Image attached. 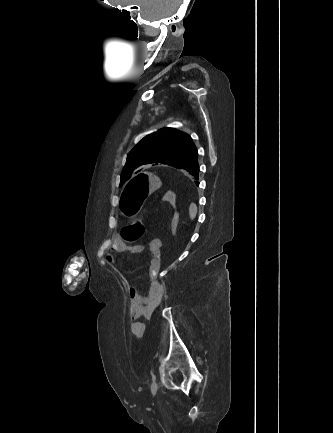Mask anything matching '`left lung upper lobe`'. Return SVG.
I'll return each mask as SVG.
<instances>
[{
    "label": "left lung upper lobe",
    "mask_w": 333,
    "mask_h": 433,
    "mask_svg": "<svg viewBox=\"0 0 333 433\" xmlns=\"http://www.w3.org/2000/svg\"><path fill=\"white\" fill-rule=\"evenodd\" d=\"M198 158L192 138L174 128H163L145 136L128 154L120 185L145 165L161 163L183 169Z\"/></svg>",
    "instance_id": "5c2ea615"
}]
</instances>
